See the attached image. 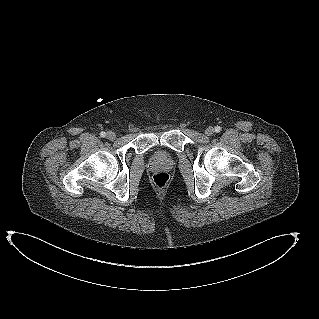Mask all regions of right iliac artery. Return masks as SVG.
<instances>
[{
    "label": "right iliac artery",
    "mask_w": 319,
    "mask_h": 319,
    "mask_svg": "<svg viewBox=\"0 0 319 319\" xmlns=\"http://www.w3.org/2000/svg\"><path fill=\"white\" fill-rule=\"evenodd\" d=\"M100 136H101V137H105V136H106V133H105V132H101V133H100Z\"/></svg>",
    "instance_id": "82829eb1"
}]
</instances>
